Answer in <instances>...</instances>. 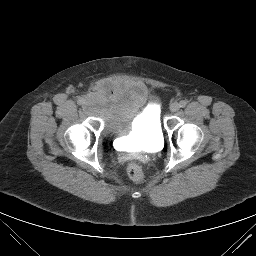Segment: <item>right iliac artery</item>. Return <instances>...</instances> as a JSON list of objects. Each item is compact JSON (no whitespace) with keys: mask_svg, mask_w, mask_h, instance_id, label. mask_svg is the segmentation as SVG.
Instances as JSON below:
<instances>
[{"mask_svg":"<svg viewBox=\"0 0 256 256\" xmlns=\"http://www.w3.org/2000/svg\"><path fill=\"white\" fill-rule=\"evenodd\" d=\"M77 103H78L79 105H82V104L85 103V100L80 97V98L78 99Z\"/></svg>","mask_w":256,"mask_h":256,"instance_id":"right-iliac-artery-1","label":"right iliac artery"}]
</instances>
